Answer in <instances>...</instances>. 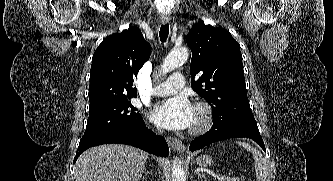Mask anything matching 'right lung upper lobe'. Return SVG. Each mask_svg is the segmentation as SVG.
Segmentation results:
<instances>
[{
    "instance_id": "right-lung-upper-lobe-1",
    "label": "right lung upper lobe",
    "mask_w": 333,
    "mask_h": 181,
    "mask_svg": "<svg viewBox=\"0 0 333 181\" xmlns=\"http://www.w3.org/2000/svg\"><path fill=\"white\" fill-rule=\"evenodd\" d=\"M150 54V44L137 27L106 37L92 58L89 108L136 97L133 82Z\"/></svg>"
}]
</instances>
